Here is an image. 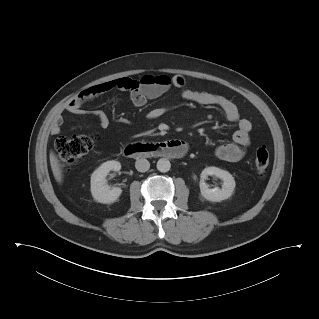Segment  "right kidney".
Segmentation results:
<instances>
[{"label": "right kidney", "instance_id": "1", "mask_svg": "<svg viewBox=\"0 0 319 319\" xmlns=\"http://www.w3.org/2000/svg\"><path fill=\"white\" fill-rule=\"evenodd\" d=\"M121 164L118 161H107L101 164L91 175V193L95 201L109 204L115 202L122 193L119 187L110 189L106 183V176L110 171H119Z\"/></svg>", "mask_w": 319, "mask_h": 319}]
</instances>
